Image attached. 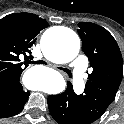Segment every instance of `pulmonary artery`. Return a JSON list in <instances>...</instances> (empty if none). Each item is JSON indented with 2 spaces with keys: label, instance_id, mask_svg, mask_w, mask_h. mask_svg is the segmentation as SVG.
I'll list each match as a JSON object with an SVG mask.
<instances>
[{
  "label": "pulmonary artery",
  "instance_id": "obj_1",
  "mask_svg": "<svg viewBox=\"0 0 124 124\" xmlns=\"http://www.w3.org/2000/svg\"><path fill=\"white\" fill-rule=\"evenodd\" d=\"M88 65L86 56H79L71 65L73 88L76 93H81L85 86V71Z\"/></svg>",
  "mask_w": 124,
  "mask_h": 124
}]
</instances>
